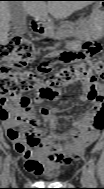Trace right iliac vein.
Here are the masks:
<instances>
[{
  "label": "right iliac vein",
  "mask_w": 104,
  "mask_h": 189,
  "mask_svg": "<svg viewBox=\"0 0 104 189\" xmlns=\"http://www.w3.org/2000/svg\"><path fill=\"white\" fill-rule=\"evenodd\" d=\"M8 178H10V182L14 180V171L10 173Z\"/></svg>",
  "instance_id": "right-iliac-vein-1"
}]
</instances>
